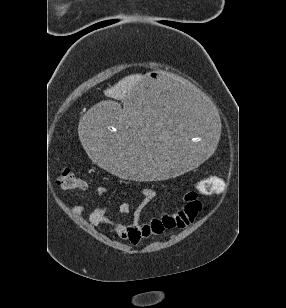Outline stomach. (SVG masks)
<instances>
[{
    "mask_svg": "<svg viewBox=\"0 0 286 308\" xmlns=\"http://www.w3.org/2000/svg\"><path fill=\"white\" fill-rule=\"evenodd\" d=\"M213 100H201L183 81L163 73L141 77L126 107L97 97L95 109H83L80 141L86 156L127 182H167L185 177L212 159L219 142V112Z\"/></svg>",
    "mask_w": 286,
    "mask_h": 308,
    "instance_id": "stomach-1",
    "label": "stomach"
}]
</instances>
